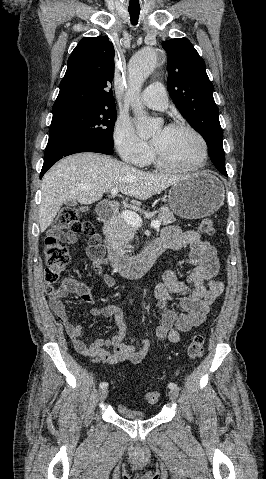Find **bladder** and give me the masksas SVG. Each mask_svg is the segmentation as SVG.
I'll list each match as a JSON object with an SVG mask.
<instances>
[{"instance_id": "obj_1", "label": "bladder", "mask_w": 266, "mask_h": 479, "mask_svg": "<svg viewBox=\"0 0 266 479\" xmlns=\"http://www.w3.org/2000/svg\"><path fill=\"white\" fill-rule=\"evenodd\" d=\"M117 410L119 412V415L124 418H128V419H146L147 418V414H145L144 412L133 410L124 403H119L117 405Z\"/></svg>"}]
</instances>
